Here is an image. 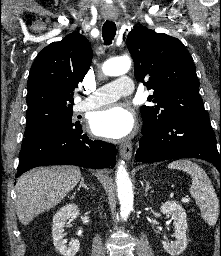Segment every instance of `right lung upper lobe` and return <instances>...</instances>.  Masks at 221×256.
Returning <instances> with one entry per match:
<instances>
[{
	"label": "right lung upper lobe",
	"instance_id": "1",
	"mask_svg": "<svg viewBox=\"0 0 221 256\" xmlns=\"http://www.w3.org/2000/svg\"><path fill=\"white\" fill-rule=\"evenodd\" d=\"M91 61V45L80 34H70L45 47L30 69L27 111L73 106V91L82 82Z\"/></svg>",
	"mask_w": 221,
	"mask_h": 256
}]
</instances>
